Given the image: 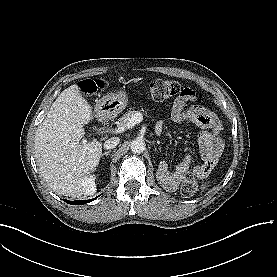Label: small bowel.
<instances>
[{
    "label": "small bowel",
    "instance_id": "obj_1",
    "mask_svg": "<svg viewBox=\"0 0 277 277\" xmlns=\"http://www.w3.org/2000/svg\"><path fill=\"white\" fill-rule=\"evenodd\" d=\"M194 99L192 91L189 94L178 96L171 105V118L175 122L187 120L196 126L209 130L202 135L199 143L200 153L205 162L194 165L190 158H185L178 165V170L181 174L192 173L197 177L203 178L208 174L206 162L213 155H219L222 151V143L216 133L223 130V125L212 109L200 105L187 106V101L193 102ZM162 128L163 123L160 122L156 126V132H160Z\"/></svg>",
    "mask_w": 277,
    "mask_h": 277
}]
</instances>
